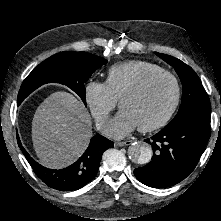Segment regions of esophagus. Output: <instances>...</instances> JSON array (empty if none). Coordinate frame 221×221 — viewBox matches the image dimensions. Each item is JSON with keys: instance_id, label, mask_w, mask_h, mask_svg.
Returning <instances> with one entry per match:
<instances>
[{"instance_id": "1", "label": "esophagus", "mask_w": 221, "mask_h": 221, "mask_svg": "<svg viewBox=\"0 0 221 221\" xmlns=\"http://www.w3.org/2000/svg\"><path fill=\"white\" fill-rule=\"evenodd\" d=\"M132 143H133V140H126V141H121V142H115V145L118 147H122V146L131 145Z\"/></svg>"}]
</instances>
